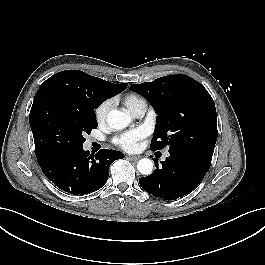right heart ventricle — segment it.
I'll return each mask as SVG.
<instances>
[{
  "label": "right heart ventricle",
  "instance_id": "e07e8e85",
  "mask_svg": "<svg viewBox=\"0 0 265 265\" xmlns=\"http://www.w3.org/2000/svg\"><path fill=\"white\" fill-rule=\"evenodd\" d=\"M125 106L134 114L140 108L147 107L145 98L137 93H129L123 98Z\"/></svg>",
  "mask_w": 265,
  "mask_h": 265
}]
</instances>
